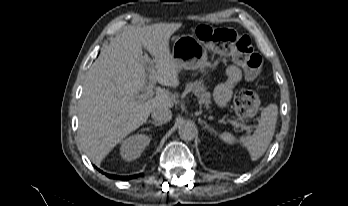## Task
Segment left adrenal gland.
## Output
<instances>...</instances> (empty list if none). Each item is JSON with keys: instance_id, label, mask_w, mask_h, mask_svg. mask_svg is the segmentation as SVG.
I'll list each match as a JSON object with an SVG mask.
<instances>
[{"instance_id": "left-adrenal-gland-1", "label": "left adrenal gland", "mask_w": 348, "mask_h": 206, "mask_svg": "<svg viewBox=\"0 0 348 206\" xmlns=\"http://www.w3.org/2000/svg\"><path fill=\"white\" fill-rule=\"evenodd\" d=\"M198 122H199V124L204 125V127H203L204 129H207V130L215 133V130L213 129V127H211L209 124H207V122L201 120L200 118L198 119Z\"/></svg>"}]
</instances>
